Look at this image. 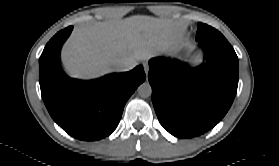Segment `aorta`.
Wrapping results in <instances>:
<instances>
[{"label":"aorta","instance_id":"aorta-1","mask_svg":"<svg viewBox=\"0 0 279 166\" xmlns=\"http://www.w3.org/2000/svg\"><path fill=\"white\" fill-rule=\"evenodd\" d=\"M138 93L142 97H149L152 93V88L149 83H143L138 88Z\"/></svg>","mask_w":279,"mask_h":166}]
</instances>
